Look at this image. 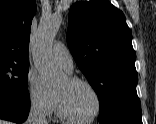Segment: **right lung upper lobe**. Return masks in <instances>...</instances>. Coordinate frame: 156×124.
<instances>
[{
	"instance_id": "1",
	"label": "right lung upper lobe",
	"mask_w": 156,
	"mask_h": 124,
	"mask_svg": "<svg viewBox=\"0 0 156 124\" xmlns=\"http://www.w3.org/2000/svg\"><path fill=\"white\" fill-rule=\"evenodd\" d=\"M35 0H0V62L29 63Z\"/></svg>"
}]
</instances>
